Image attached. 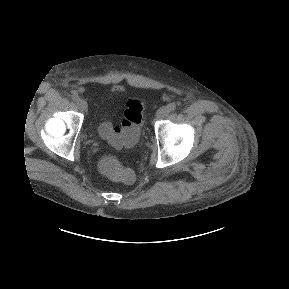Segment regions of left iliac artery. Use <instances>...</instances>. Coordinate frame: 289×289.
Returning <instances> with one entry per match:
<instances>
[{"instance_id":"44dca946","label":"left iliac artery","mask_w":289,"mask_h":289,"mask_svg":"<svg viewBox=\"0 0 289 289\" xmlns=\"http://www.w3.org/2000/svg\"><path fill=\"white\" fill-rule=\"evenodd\" d=\"M168 109H169V112H172L176 109V104L175 103H170L168 104Z\"/></svg>"}]
</instances>
